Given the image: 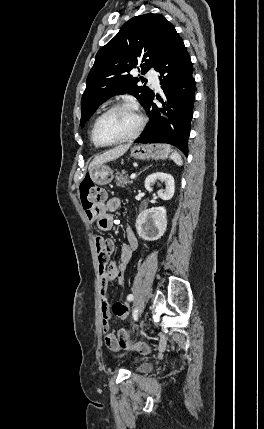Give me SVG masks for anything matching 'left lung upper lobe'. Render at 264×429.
I'll use <instances>...</instances> for the list:
<instances>
[{"instance_id": "obj_1", "label": "left lung upper lobe", "mask_w": 264, "mask_h": 429, "mask_svg": "<svg viewBox=\"0 0 264 429\" xmlns=\"http://www.w3.org/2000/svg\"><path fill=\"white\" fill-rule=\"evenodd\" d=\"M172 29L174 26L161 14L136 16L98 51L81 100L82 127L96 109L113 95L128 92L145 107L153 91L145 85L138 86L137 83L144 82V78L133 77L129 72L141 67L139 71L144 75L147 69L155 68Z\"/></svg>"}]
</instances>
